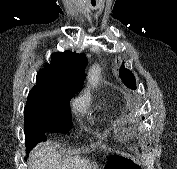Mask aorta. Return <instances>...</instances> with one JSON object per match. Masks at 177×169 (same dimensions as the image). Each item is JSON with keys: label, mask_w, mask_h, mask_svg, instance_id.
Here are the masks:
<instances>
[{"label": "aorta", "mask_w": 177, "mask_h": 169, "mask_svg": "<svg viewBox=\"0 0 177 169\" xmlns=\"http://www.w3.org/2000/svg\"><path fill=\"white\" fill-rule=\"evenodd\" d=\"M101 69L98 65L92 66L88 73V82L91 86H96L100 80Z\"/></svg>", "instance_id": "1"}]
</instances>
